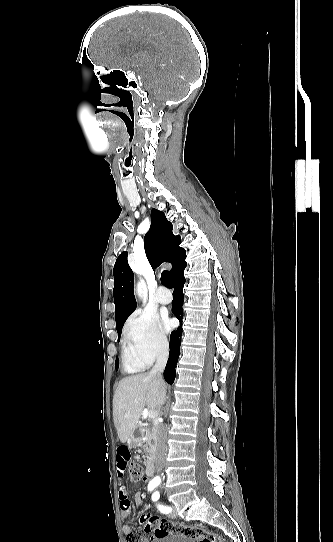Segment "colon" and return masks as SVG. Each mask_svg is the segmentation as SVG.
<instances>
[{"label":"colon","mask_w":333,"mask_h":542,"mask_svg":"<svg viewBox=\"0 0 333 542\" xmlns=\"http://www.w3.org/2000/svg\"><path fill=\"white\" fill-rule=\"evenodd\" d=\"M131 478L135 482L141 481L146 474L144 465L133 462L130 467ZM139 525L146 534L155 533L154 538L164 539L168 536L184 538L190 542H231L230 536H220L201 526L187 525L182 522H172L160 519L150 513L142 514L139 518ZM127 542H146L147 539L141 531H128Z\"/></svg>","instance_id":"colon-1"}]
</instances>
